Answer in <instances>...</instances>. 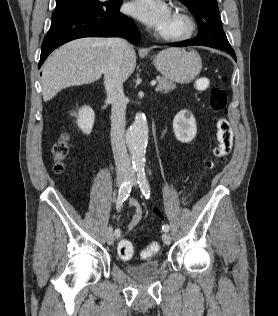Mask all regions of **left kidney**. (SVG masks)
Instances as JSON below:
<instances>
[{
    "instance_id": "left-kidney-1",
    "label": "left kidney",
    "mask_w": 278,
    "mask_h": 316,
    "mask_svg": "<svg viewBox=\"0 0 278 316\" xmlns=\"http://www.w3.org/2000/svg\"><path fill=\"white\" fill-rule=\"evenodd\" d=\"M186 110L180 111L173 120V129L177 140L182 143L191 142L196 133V120L193 115H187Z\"/></svg>"
}]
</instances>
